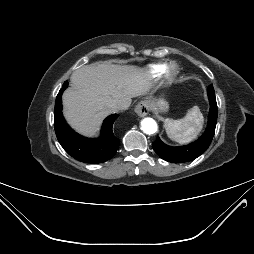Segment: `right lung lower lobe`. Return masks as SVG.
Masks as SVG:
<instances>
[{
  "mask_svg": "<svg viewBox=\"0 0 254 254\" xmlns=\"http://www.w3.org/2000/svg\"><path fill=\"white\" fill-rule=\"evenodd\" d=\"M68 82L65 81L60 89L55 103L54 127L58 141L65 151L73 158L85 163H102L112 158L118 148L119 139L113 134V123L117 114L108 116L102 125L101 136L90 139L73 131L62 114V93Z\"/></svg>",
  "mask_w": 254,
  "mask_h": 254,
  "instance_id": "1",
  "label": "right lung lower lobe"
}]
</instances>
